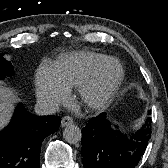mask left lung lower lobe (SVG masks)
Wrapping results in <instances>:
<instances>
[{
    "label": "left lung lower lobe",
    "mask_w": 168,
    "mask_h": 168,
    "mask_svg": "<svg viewBox=\"0 0 168 168\" xmlns=\"http://www.w3.org/2000/svg\"><path fill=\"white\" fill-rule=\"evenodd\" d=\"M150 137V118L146 119L140 130L128 137L112 129L106 113H101L82 129L84 168H135Z\"/></svg>",
    "instance_id": "left-lung-lower-lobe-1"
}]
</instances>
